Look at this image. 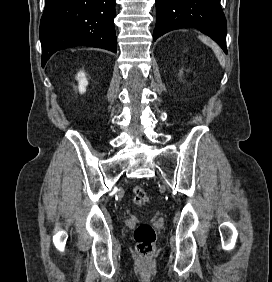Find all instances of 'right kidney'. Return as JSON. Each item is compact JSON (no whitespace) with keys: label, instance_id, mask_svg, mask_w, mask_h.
Masks as SVG:
<instances>
[{"label":"right kidney","instance_id":"ca27d5eb","mask_svg":"<svg viewBox=\"0 0 272 282\" xmlns=\"http://www.w3.org/2000/svg\"><path fill=\"white\" fill-rule=\"evenodd\" d=\"M76 80L78 81V90L79 92L85 93L86 92V86L88 85V80L86 78V75L83 71H79L76 75Z\"/></svg>","mask_w":272,"mask_h":282}]
</instances>
